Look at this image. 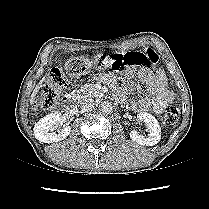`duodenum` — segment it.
<instances>
[{"instance_id":"1","label":"duodenum","mask_w":209,"mask_h":209,"mask_svg":"<svg viewBox=\"0 0 209 209\" xmlns=\"http://www.w3.org/2000/svg\"><path fill=\"white\" fill-rule=\"evenodd\" d=\"M75 101H76L75 94H68L63 98V103L69 108L74 107Z\"/></svg>"}]
</instances>
